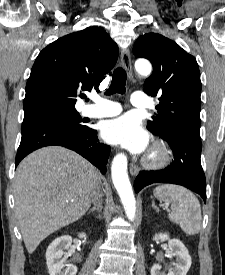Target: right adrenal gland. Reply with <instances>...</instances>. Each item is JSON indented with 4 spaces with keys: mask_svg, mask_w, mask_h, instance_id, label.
<instances>
[{
    "mask_svg": "<svg viewBox=\"0 0 225 275\" xmlns=\"http://www.w3.org/2000/svg\"><path fill=\"white\" fill-rule=\"evenodd\" d=\"M95 211H97L98 213H100L102 211V199L101 198L93 201V207L91 208L89 213L95 212Z\"/></svg>",
    "mask_w": 225,
    "mask_h": 275,
    "instance_id": "2a0ac1e0",
    "label": "right adrenal gland"
}]
</instances>
